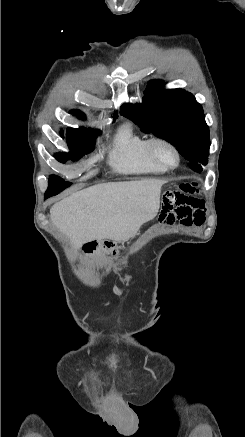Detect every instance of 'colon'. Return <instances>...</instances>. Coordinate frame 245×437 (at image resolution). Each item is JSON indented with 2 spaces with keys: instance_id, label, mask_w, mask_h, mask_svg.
Returning a JSON list of instances; mask_svg holds the SVG:
<instances>
[{
  "instance_id": "colon-1",
  "label": "colon",
  "mask_w": 245,
  "mask_h": 437,
  "mask_svg": "<svg viewBox=\"0 0 245 437\" xmlns=\"http://www.w3.org/2000/svg\"><path fill=\"white\" fill-rule=\"evenodd\" d=\"M105 251L109 255H113L114 256L116 254V250L114 248H112L111 246H109V245L106 246Z\"/></svg>"
}]
</instances>
